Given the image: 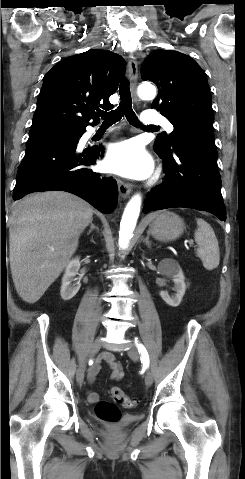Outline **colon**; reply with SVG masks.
I'll return each mask as SVG.
<instances>
[{
	"instance_id": "5ec220e1",
	"label": "colon",
	"mask_w": 245,
	"mask_h": 479,
	"mask_svg": "<svg viewBox=\"0 0 245 479\" xmlns=\"http://www.w3.org/2000/svg\"><path fill=\"white\" fill-rule=\"evenodd\" d=\"M110 396L112 398V402L99 401L95 407V414L102 421L117 422L121 417L118 405L124 408H132L136 405V400L130 398L122 389L118 387H112L110 389Z\"/></svg>"
}]
</instances>
